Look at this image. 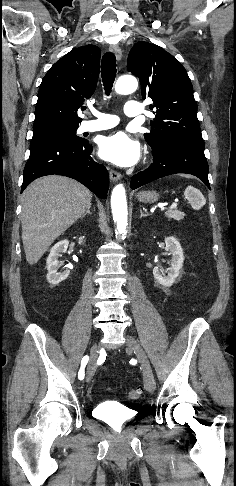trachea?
Here are the masks:
<instances>
[{
    "mask_svg": "<svg viewBox=\"0 0 236 486\" xmlns=\"http://www.w3.org/2000/svg\"><path fill=\"white\" fill-rule=\"evenodd\" d=\"M116 57L111 52H106L101 62V77L105 94L110 95L116 77Z\"/></svg>",
    "mask_w": 236,
    "mask_h": 486,
    "instance_id": "obj_1",
    "label": "trachea"
}]
</instances>
